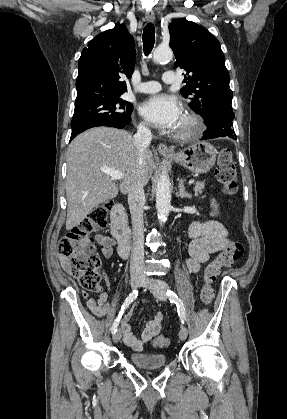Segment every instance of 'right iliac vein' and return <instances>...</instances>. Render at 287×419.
Masks as SVG:
<instances>
[{
  "mask_svg": "<svg viewBox=\"0 0 287 419\" xmlns=\"http://www.w3.org/2000/svg\"><path fill=\"white\" fill-rule=\"evenodd\" d=\"M142 278L141 277H139V276H132L131 277V279H130V284H131V287L133 288V289H135V288H137L141 283H142ZM121 336H122V332H121V330L120 329H118L114 334H113V337H112V339H113V341H114V343H117V342H119V340L121 339Z\"/></svg>",
  "mask_w": 287,
  "mask_h": 419,
  "instance_id": "63e3f726",
  "label": "right iliac vein"
}]
</instances>
